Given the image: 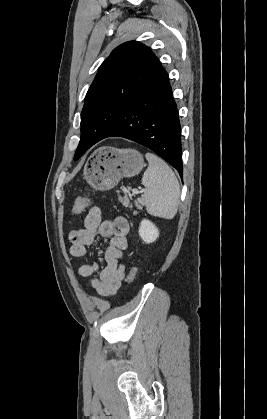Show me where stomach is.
I'll return each instance as SVG.
<instances>
[{
	"mask_svg": "<svg viewBox=\"0 0 267 419\" xmlns=\"http://www.w3.org/2000/svg\"><path fill=\"white\" fill-rule=\"evenodd\" d=\"M144 166L143 155L136 149L103 146L89 156L83 176L95 190L106 191L114 188L121 178L137 175Z\"/></svg>",
	"mask_w": 267,
	"mask_h": 419,
	"instance_id": "stomach-1",
	"label": "stomach"
}]
</instances>
